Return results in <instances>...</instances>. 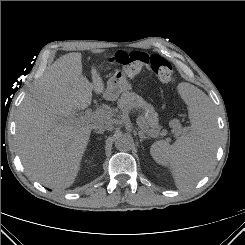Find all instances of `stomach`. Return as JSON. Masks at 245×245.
Listing matches in <instances>:
<instances>
[{
    "mask_svg": "<svg viewBox=\"0 0 245 245\" xmlns=\"http://www.w3.org/2000/svg\"><path fill=\"white\" fill-rule=\"evenodd\" d=\"M132 89V85L128 81L124 71L116 70L114 75L107 82L105 96L108 99L115 100L119 96L128 93Z\"/></svg>",
    "mask_w": 245,
    "mask_h": 245,
    "instance_id": "obj_1",
    "label": "stomach"
}]
</instances>
